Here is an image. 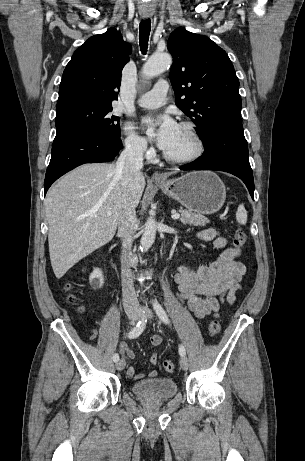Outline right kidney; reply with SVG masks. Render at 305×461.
<instances>
[{"mask_svg": "<svg viewBox=\"0 0 305 461\" xmlns=\"http://www.w3.org/2000/svg\"><path fill=\"white\" fill-rule=\"evenodd\" d=\"M90 285L93 289H99L104 284V277L102 271L99 269H95L93 273L90 275Z\"/></svg>", "mask_w": 305, "mask_h": 461, "instance_id": "1", "label": "right kidney"}]
</instances>
